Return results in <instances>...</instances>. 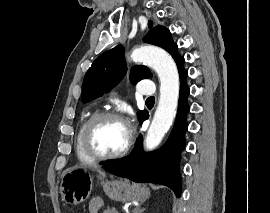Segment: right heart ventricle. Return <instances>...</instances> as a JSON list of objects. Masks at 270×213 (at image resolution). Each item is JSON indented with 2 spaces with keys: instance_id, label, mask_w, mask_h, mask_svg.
<instances>
[{
  "instance_id": "obj_1",
  "label": "right heart ventricle",
  "mask_w": 270,
  "mask_h": 213,
  "mask_svg": "<svg viewBox=\"0 0 270 213\" xmlns=\"http://www.w3.org/2000/svg\"><path fill=\"white\" fill-rule=\"evenodd\" d=\"M95 115L94 112H90L87 115H85L76 132V136H75V151H76V155L78 157V159L83 162V163H92L95 160L93 158H91L84 150L83 148V132L84 129L87 125V123L89 122V120Z\"/></svg>"
}]
</instances>
